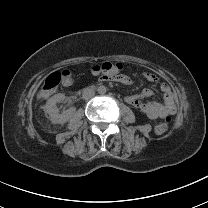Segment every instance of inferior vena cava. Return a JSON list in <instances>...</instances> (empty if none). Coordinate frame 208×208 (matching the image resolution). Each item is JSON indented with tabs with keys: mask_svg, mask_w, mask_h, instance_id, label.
Returning <instances> with one entry per match:
<instances>
[{
	"mask_svg": "<svg viewBox=\"0 0 208 208\" xmlns=\"http://www.w3.org/2000/svg\"><path fill=\"white\" fill-rule=\"evenodd\" d=\"M95 92L92 88L87 87L83 90L82 97L85 100L91 99L94 96Z\"/></svg>",
	"mask_w": 208,
	"mask_h": 208,
	"instance_id": "1",
	"label": "inferior vena cava"
}]
</instances>
